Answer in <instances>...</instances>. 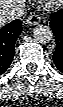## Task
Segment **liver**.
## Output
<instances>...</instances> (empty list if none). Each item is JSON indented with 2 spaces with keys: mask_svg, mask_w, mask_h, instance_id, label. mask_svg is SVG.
<instances>
[{
  "mask_svg": "<svg viewBox=\"0 0 63 107\" xmlns=\"http://www.w3.org/2000/svg\"><path fill=\"white\" fill-rule=\"evenodd\" d=\"M1 1H2V0H1ZM1 1H0V2H1ZM3 1H10V0H3ZM0 4H1V3H0ZM5 4L9 5L8 3H5ZM7 22H9V21L6 20V19H2L1 16H0V24H1V25H4V24L7 23Z\"/></svg>",
  "mask_w": 63,
  "mask_h": 107,
  "instance_id": "obj_1",
  "label": "liver"
}]
</instances>
